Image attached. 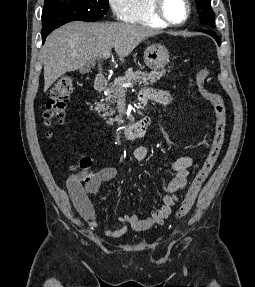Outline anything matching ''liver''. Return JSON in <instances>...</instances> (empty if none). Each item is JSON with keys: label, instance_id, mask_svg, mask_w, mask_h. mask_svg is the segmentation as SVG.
<instances>
[{"label": "liver", "instance_id": "obj_1", "mask_svg": "<svg viewBox=\"0 0 255 287\" xmlns=\"http://www.w3.org/2000/svg\"><path fill=\"white\" fill-rule=\"evenodd\" d=\"M159 32L123 22L86 24L70 22L48 36L42 48L44 64V92L66 72H74L86 66L87 62L100 60L102 54L114 48L118 60L133 52L134 48Z\"/></svg>", "mask_w": 255, "mask_h": 287}]
</instances>
